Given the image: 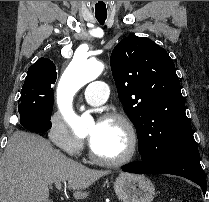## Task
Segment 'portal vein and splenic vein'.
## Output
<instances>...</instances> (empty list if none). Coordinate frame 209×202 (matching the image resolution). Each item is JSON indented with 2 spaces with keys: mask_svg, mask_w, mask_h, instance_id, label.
Wrapping results in <instances>:
<instances>
[{
  "mask_svg": "<svg viewBox=\"0 0 209 202\" xmlns=\"http://www.w3.org/2000/svg\"><path fill=\"white\" fill-rule=\"evenodd\" d=\"M55 186L57 189H61V183L60 182H55Z\"/></svg>",
  "mask_w": 209,
  "mask_h": 202,
  "instance_id": "18ae733b",
  "label": "portal vein and splenic vein"
}]
</instances>
